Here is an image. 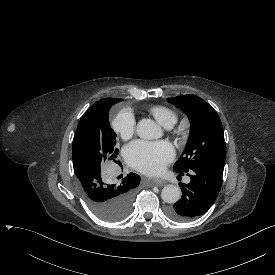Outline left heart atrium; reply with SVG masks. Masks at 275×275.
Instances as JSON below:
<instances>
[{
  "mask_svg": "<svg viewBox=\"0 0 275 275\" xmlns=\"http://www.w3.org/2000/svg\"><path fill=\"white\" fill-rule=\"evenodd\" d=\"M124 153L132 167L147 174L161 172L174 155L171 145L165 141H136L127 146Z\"/></svg>",
  "mask_w": 275,
  "mask_h": 275,
  "instance_id": "obj_1",
  "label": "left heart atrium"
}]
</instances>
